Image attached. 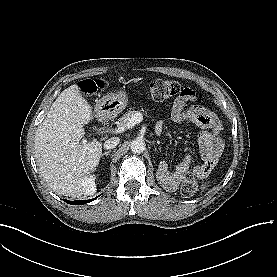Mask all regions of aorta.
I'll return each instance as SVG.
<instances>
[{
	"mask_svg": "<svg viewBox=\"0 0 277 277\" xmlns=\"http://www.w3.org/2000/svg\"><path fill=\"white\" fill-rule=\"evenodd\" d=\"M146 144L143 139L136 138L130 143V150L133 153H141L145 150Z\"/></svg>",
	"mask_w": 277,
	"mask_h": 277,
	"instance_id": "aorta-1",
	"label": "aorta"
}]
</instances>
